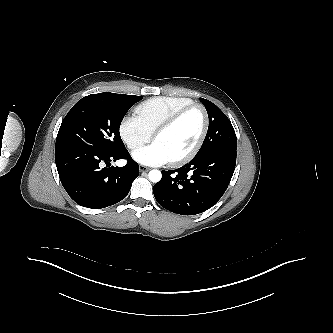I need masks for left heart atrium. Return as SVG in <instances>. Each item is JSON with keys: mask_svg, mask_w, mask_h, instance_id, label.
I'll list each match as a JSON object with an SVG mask.
<instances>
[{"mask_svg": "<svg viewBox=\"0 0 333 333\" xmlns=\"http://www.w3.org/2000/svg\"><path fill=\"white\" fill-rule=\"evenodd\" d=\"M134 160L148 166H160L170 161L167 153L157 142L139 148L132 154Z\"/></svg>", "mask_w": 333, "mask_h": 333, "instance_id": "1", "label": "left heart atrium"}]
</instances>
